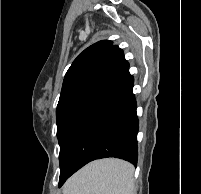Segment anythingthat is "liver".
<instances>
[{
  "label": "liver",
  "mask_w": 201,
  "mask_h": 194,
  "mask_svg": "<svg viewBox=\"0 0 201 194\" xmlns=\"http://www.w3.org/2000/svg\"><path fill=\"white\" fill-rule=\"evenodd\" d=\"M134 166L107 158L93 161L72 175L63 194H135Z\"/></svg>",
  "instance_id": "liver-1"
}]
</instances>
